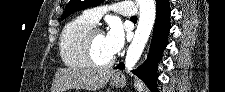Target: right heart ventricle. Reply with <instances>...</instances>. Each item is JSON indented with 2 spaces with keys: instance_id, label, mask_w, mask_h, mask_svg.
I'll return each mask as SVG.
<instances>
[{
  "instance_id": "e07e8e85",
  "label": "right heart ventricle",
  "mask_w": 225,
  "mask_h": 92,
  "mask_svg": "<svg viewBox=\"0 0 225 92\" xmlns=\"http://www.w3.org/2000/svg\"><path fill=\"white\" fill-rule=\"evenodd\" d=\"M92 27L94 24L83 16L72 19L64 26L59 40V52L65 65L73 68L89 67L83 55L82 41Z\"/></svg>"
}]
</instances>
